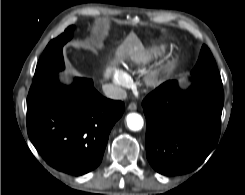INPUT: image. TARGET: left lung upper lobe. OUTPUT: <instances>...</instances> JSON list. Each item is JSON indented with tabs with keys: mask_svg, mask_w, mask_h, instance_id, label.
Masks as SVG:
<instances>
[{
	"mask_svg": "<svg viewBox=\"0 0 245 195\" xmlns=\"http://www.w3.org/2000/svg\"><path fill=\"white\" fill-rule=\"evenodd\" d=\"M195 84H207L222 88L221 77L216 62L206 45L202 46L199 60L192 70Z\"/></svg>",
	"mask_w": 245,
	"mask_h": 195,
	"instance_id": "obj_1",
	"label": "left lung upper lobe"
}]
</instances>
